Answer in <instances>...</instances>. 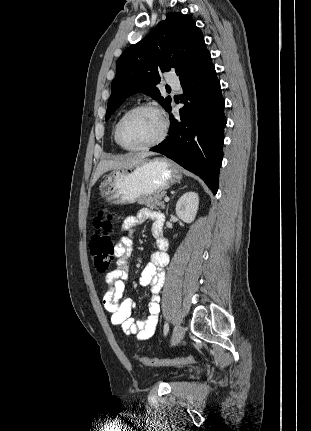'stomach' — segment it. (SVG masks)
<instances>
[{
  "instance_id": "stomach-1",
  "label": "stomach",
  "mask_w": 311,
  "mask_h": 431,
  "mask_svg": "<svg viewBox=\"0 0 311 431\" xmlns=\"http://www.w3.org/2000/svg\"><path fill=\"white\" fill-rule=\"evenodd\" d=\"M182 174L167 158L146 160L136 168L114 170L99 186V196L107 206H129L143 196H153L178 184Z\"/></svg>"
}]
</instances>
